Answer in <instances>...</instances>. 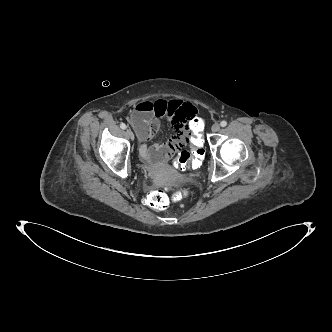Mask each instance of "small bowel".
Here are the masks:
<instances>
[{"label": "small bowel", "instance_id": "1", "mask_svg": "<svg viewBox=\"0 0 332 332\" xmlns=\"http://www.w3.org/2000/svg\"><path fill=\"white\" fill-rule=\"evenodd\" d=\"M192 117H199L196 106L181 99L139 102L132 112L131 123L141 141L142 158L148 162H158L183 151L191 135L189 120ZM163 118L171 122L175 134L170 136L166 142L149 145L148 141L160 129Z\"/></svg>", "mask_w": 332, "mask_h": 332}]
</instances>
